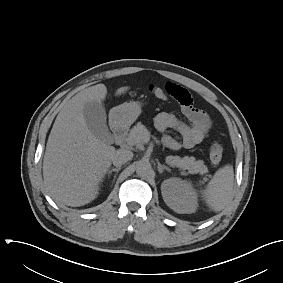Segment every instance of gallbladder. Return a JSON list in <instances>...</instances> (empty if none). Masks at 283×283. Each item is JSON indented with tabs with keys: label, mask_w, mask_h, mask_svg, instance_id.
I'll use <instances>...</instances> for the list:
<instances>
[{
	"label": "gallbladder",
	"mask_w": 283,
	"mask_h": 283,
	"mask_svg": "<svg viewBox=\"0 0 283 283\" xmlns=\"http://www.w3.org/2000/svg\"><path fill=\"white\" fill-rule=\"evenodd\" d=\"M83 115L87 127L96 137L105 140L110 137L106 124V111L102 103L91 101L85 104Z\"/></svg>",
	"instance_id": "bac80fb5"
}]
</instances>
